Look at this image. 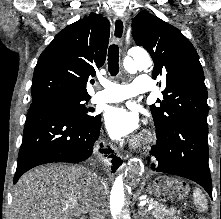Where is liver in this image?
Wrapping results in <instances>:
<instances>
[{
    "mask_svg": "<svg viewBox=\"0 0 221 219\" xmlns=\"http://www.w3.org/2000/svg\"><path fill=\"white\" fill-rule=\"evenodd\" d=\"M78 165L40 166L24 174L13 192L10 219H73L86 214L101 186L105 207L106 182Z\"/></svg>",
    "mask_w": 221,
    "mask_h": 219,
    "instance_id": "liver-1",
    "label": "liver"
}]
</instances>
